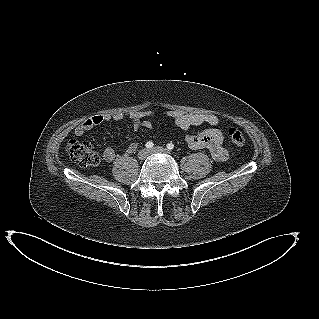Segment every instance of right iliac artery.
Here are the masks:
<instances>
[{"instance_id":"1","label":"right iliac artery","mask_w":319,"mask_h":319,"mask_svg":"<svg viewBox=\"0 0 319 319\" xmlns=\"http://www.w3.org/2000/svg\"><path fill=\"white\" fill-rule=\"evenodd\" d=\"M145 146H146L147 149H151V148H153L154 144H153L152 141H148V142L145 144Z\"/></svg>"}]
</instances>
